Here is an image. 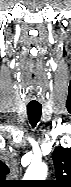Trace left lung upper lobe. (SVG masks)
<instances>
[{
	"label": "left lung upper lobe",
	"instance_id": "left-lung-upper-lobe-1",
	"mask_svg": "<svg viewBox=\"0 0 71 187\" xmlns=\"http://www.w3.org/2000/svg\"><path fill=\"white\" fill-rule=\"evenodd\" d=\"M52 159L57 180L50 183L56 187H71V148L57 147Z\"/></svg>",
	"mask_w": 71,
	"mask_h": 187
}]
</instances>
